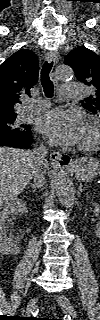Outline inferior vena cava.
I'll return each instance as SVG.
<instances>
[{
	"mask_svg": "<svg viewBox=\"0 0 100 320\" xmlns=\"http://www.w3.org/2000/svg\"><path fill=\"white\" fill-rule=\"evenodd\" d=\"M32 152L36 160V172L34 175L35 186L39 190H43L45 183V172L43 170L44 166L47 164V160L45 159V157L48 153V149L45 146L40 145V147L34 149ZM41 171L42 173L39 174Z\"/></svg>",
	"mask_w": 100,
	"mask_h": 320,
	"instance_id": "602c4592",
	"label": "inferior vena cava"
}]
</instances>
